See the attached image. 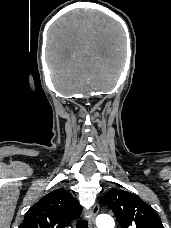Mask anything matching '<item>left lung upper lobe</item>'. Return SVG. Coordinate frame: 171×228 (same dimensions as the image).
Returning a JSON list of instances; mask_svg holds the SVG:
<instances>
[{"mask_svg":"<svg viewBox=\"0 0 171 228\" xmlns=\"http://www.w3.org/2000/svg\"><path fill=\"white\" fill-rule=\"evenodd\" d=\"M101 201L114 212L121 228H164L153 208L134 193L112 189Z\"/></svg>","mask_w":171,"mask_h":228,"instance_id":"5c2ea615","label":"left lung upper lobe"}]
</instances>
